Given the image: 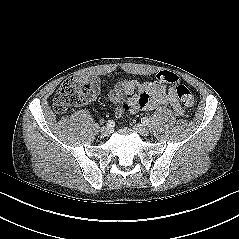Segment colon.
Segmentation results:
<instances>
[{"label":"colon","mask_w":239,"mask_h":239,"mask_svg":"<svg viewBox=\"0 0 239 239\" xmlns=\"http://www.w3.org/2000/svg\"><path fill=\"white\" fill-rule=\"evenodd\" d=\"M156 79L174 85L177 98L184 106L192 107L195 105L193 93L186 85L180 83L177 74L170 71H161L157 74ZM86 98L87 90L85 86L73 78H68L59 86L53 99V107L58 114H63L72 107L84 104ZM123 108L128 110L129 104L124 103Z\"/></svg>","instance_id":"5ec220e1"}]
</instances>
